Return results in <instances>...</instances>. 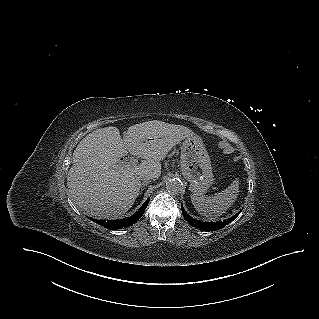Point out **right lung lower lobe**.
<instances>
[{"instance_id": "98d812e1", "label": "right lung lower lobe", "mask_w": 319, "mask_h": 319, "mask_svg": "<svg viewBox=\"0 0 319 319\" xmlns=\"http://www.w3.org/2000/svg\"><path fill=\"white\" fill-rule=\"evenodd\" d=\"M148 200L149 198L147 199V201L144 202L142 207L137 212H135L132 216L127 217L126 219L105 221L91 218V220L111 230L126 228L128 226L133 225L141 218L148 205Z\"/></svg>"}]
</instances>
